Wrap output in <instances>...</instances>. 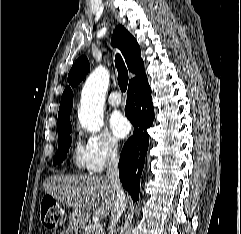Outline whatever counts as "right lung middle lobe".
I'll use <instances>...</instances> for the list:
<instances>
[{
    "instance_id": "dd1d6c3e",
    "label": "right lung middle lobe",
    "mask_w": 241,
    "mask_h": 234,
    "mask_svg": "<svg viewBox=\"0 0 241 234\" xmlns=\"http://www.w3.org/2000/svg\"><path fill=\"white\" fill-rule=\"evenodd\" d=\"M71 131L72 127H67L58 131V151L54 156V165L61 163L65 159L66 153L68 152L71 145Z\"/></svg>"
}]
</instances>
